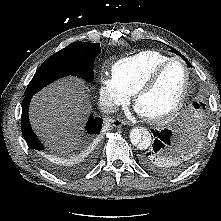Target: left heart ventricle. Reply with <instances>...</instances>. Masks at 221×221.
Wrapping results in <instances>:
<instances>
[{
    "label": "left heart ventricle",
    "mask_w": 221,
    "mask_h": 221,
    "mask_svg": "<svg viewBox=\"0 0 221 221\" xmlns=\"http://www.w3.org/2000/svg\"><path fill=\"white\" fill-rule=\"evenodd\" d=\"M186 83L183 64L173 62L162 74L155 87L142 96L137 109L144 116H158L169 111L179 100Z\"/></svg>",
    "instance_id": "left-heart-ventricle-1"
}]
</instances>
